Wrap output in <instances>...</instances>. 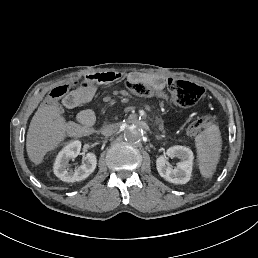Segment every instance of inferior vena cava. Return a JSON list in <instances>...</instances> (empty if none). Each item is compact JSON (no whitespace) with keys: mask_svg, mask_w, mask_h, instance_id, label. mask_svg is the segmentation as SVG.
<instances>
[{"mask_svg":"<svg viewBox=\"0 0 258 258\" xmlns=\"http://www.w3.org/2000/svg\"><path fill=\"white\" fill-rule=\"evenodd\" d=\"M117 130L114 128L113 125H106L105 127L102 128L101 133L104 136H111L114 134Z\"/></svg>","mask_w":258,"mask_h":258,"instance_id":"1","label":"inferior vena cava"}]
</instances>
